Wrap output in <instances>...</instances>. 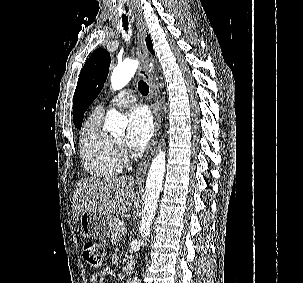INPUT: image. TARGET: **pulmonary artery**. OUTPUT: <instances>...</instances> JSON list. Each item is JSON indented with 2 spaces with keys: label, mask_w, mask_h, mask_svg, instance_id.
Listing matches in <instances>:
<instances>
[{
  "label": "pulmonary artery",
  "mask_w": 303,
  "mask_h": 283,
  "mask_svg": "<svg viewBox=\"0 0 303 283\" xmlns=\"http://www.w3.org/2000/svg\"><path fill=\"white\" fill-rule=\"evenodd\" d=\"M135 103V96L131 90H123L119 94H117L110 102V106H114L117 108L127 107ZM106 107L99 106L96 109L103 111Z\"/></svg>",
  "instance_id": "pulmonary-artery-1"
}]
</instances>
